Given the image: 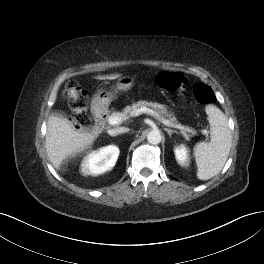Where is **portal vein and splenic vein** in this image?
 <instances>
[{"label": "portal vein and splenic vein", "mask_w": 264, "mask_h": 264, "mask_svg": "<svg viewBox=\"0 0 264 264\" xmlns=\"http://www.w3.org/2000/svg\"><path fill=\"white\" fill-rule=\"evenodd\" d=\"M142 113H147L149 115L154 116L161 123H163L164 125H166L168 127H173V128L180 129L183 134H185V132H188V133H191V134H196V131L194 129L189 128V127L182 126L180 124L174 125L169 120L163 118L157 112H155L154 110L149 109V108H141V109L136 110L134 112V116H137V115L142 114ZM122 120H123V117H121V116H110L108 118V123L110 125H112V126H115V125L120 124L122 122ZM202 133L205 134V135H208L207 130H203Z\"/></svg>", "instance_id": "obj_1"}]
</instances>
